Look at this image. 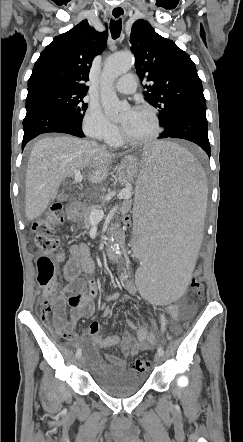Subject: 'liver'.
<instances>
[{"label":"liver","mask_w":243,"mask_h":442,"mask_svg":"<svg viewBox=\"0 0 243 442\" xmlns=\"http://www.w3.org/2000/svg\"><path fill=\"white\" fill-rule=\"evenodd\" d=\"M114 154L94 141L71 136L44 137L33 146L26 172L25 215L39 217L56 198L59 186L75 170L88 169L91 183H101L109 172Z\"/></svg>","instance_id":"liver-1"}]
</instances>
